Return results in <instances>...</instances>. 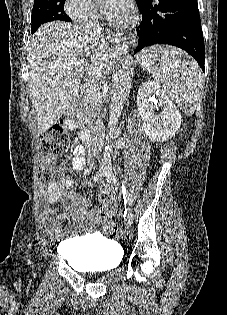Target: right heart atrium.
Listing matches in <instances>:
<instances>
[{
	"instance_id": "obj_1",
	"label": "right heart atrium",
	"mask_w": 227,
	"mask_h": 315,
	"mask_svg": "<svg viewBox=\"0 0 227 315\" xmlns=\"http://www.w3.org/2000/svg\"><path fill=\"white\" fill-rule=\"evenodd\" d=\"M65 13L75 22L84 26L92 25L99 19V12L92 0H65Z\"/></svg>"
}]
</instances>
